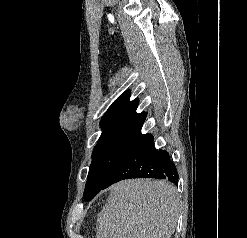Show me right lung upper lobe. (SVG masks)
<instances>
[{"label": "right lung upper lobe", "mask_w": 247, "mask_h": 238, "mask_svg": "<svg viewBox=\"0 0 247 238\" xmlns=\"http://www.w3.org/2000/svg\"><path fill=\"white\" fill-rule=\"evenodd\" d=\"M130 91L124 92L114 103L109 107L101 120V127L108 125L126 122V121H144L146 113H136L139 103L138 99L129 101Z\"/></svg>", "instance_id": "cb5924a9"}]
</instances>
